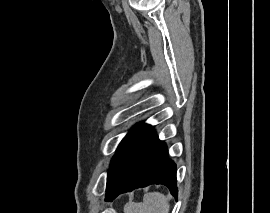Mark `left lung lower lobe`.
I'll return each mask as SVG.
<instances>
[{
    "mask_svg": "<svg viewBox=\"0 0 270 213\" xmlns=\"http://www.w3.org/2000/svg\"><path fill=\"white\" fill-rule=\"evenodd\" d=\"M150 184H164L177 197L176 165L151 125L141 124L113 161L107 177L106 201Z\"/></svg>",
    "mask_w": 270,
    "mask_h": 213,
    "instance_id": "left-lung-lower-lobe-1",
    "label": "left lung lower lobe"
}]
</instances>
